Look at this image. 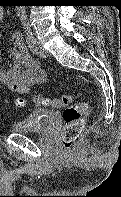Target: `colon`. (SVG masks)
Returning <instances> with one entry per match:
<instances>
[{
	"instance_id": "colon-1",
	"label": "colon",
	"mask_w": 121,
	"mask_h": 197,
	"mask_svg": "<svg viewBox=\"0 0 121 197\" xmlns=\"http://www.w3.org/2000/svg\"><path fill=\"white\" fill-rule=\"evenodd\" d=\"M34 103L37 106L64 107L62 113L64 121L61 135L62 145L65 150H72L83 131L88 103H73V96L70 94L55 99L37 95L34 99ZM15 104L19 108H24L26 106V102L23 99H16Z\"/></svg>"
}]
</instances>
